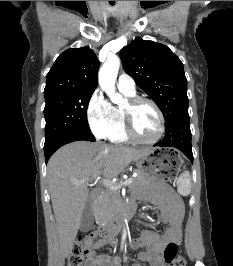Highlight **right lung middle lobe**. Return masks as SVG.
Wrapping results in <instances>:
<instances>
[{
	"label": "right lung middle lobe",
	"instance_id": "right-lung-middle-lobe-1",
	"mask_svg": "<svg viewBox=\"0 0 233 266\" xmlns=\"http://www.w3.org/2000/svg\"><path fill=\"white\" fill-rule=\"evenodd\" d=\"M93 92L78 91L45 97V144L71 132H90L86 113Z\"/></svg>",
	"mask_w": 233,
	"mask_h": 266
}]
</instances>
